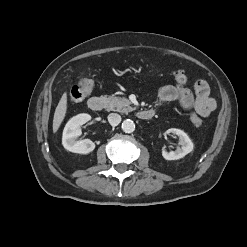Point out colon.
I'll use <instances>...</instances> for the list:
<instances>
[{
    "label": "colon",
    "instance_id": "colon-1",
    "mask_svg": "<svg viewBox=\"0 0 247 247\" xmlns=\"http://www.w3.org/2000/svg\"><path fill=\"white\" fill-rule=\"evenodd\" d=\"M176 85L184 87L187 84V76L181 70L174 73ZM93 82L91 79L83 77L73 86L70 92V99L74 102L83 100L92 90ZM190 120L195 127L202 126V119L198 113H192Z\"/></svg>",
    "mask_w": 247,
    "mask_h": 247
}]
</instances>
